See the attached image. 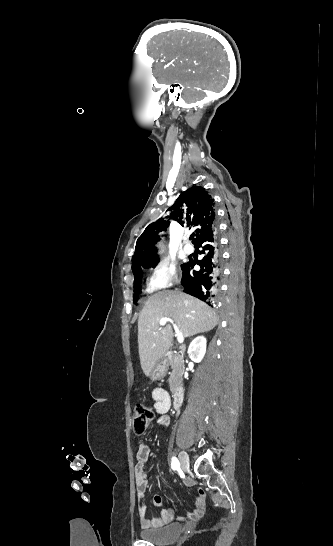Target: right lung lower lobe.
Returning <instances> with one entry per match:
<instances>
[{
	"label": "right lung lower lobe",
	"instance_id": "obj_1",
	"mask_svg": "<svg viewBox=\"0 0 333 546\" xmlns=\"http://www.w3.org/2000/svg\"><path fill=\"white\" fill-rule=\"evenodd\" d=\"M195 246L202 247L201 254L204 256L199 261L190 259L181 266L183 271L181 284L184 292L212 306L221 275V253L216 228L207 231L195 242ZM195 264L201 267L199 271L194 270Z\"/></svg>",
	"mask_w": 333,
	"mask_h": 546
}]
</instances>
